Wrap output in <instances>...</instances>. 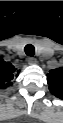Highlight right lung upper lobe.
Masks as SVG:
<instances>
[{
  "label": "right lung upper lobe",
  "mask_w": 63,
  "mask_h": 123,
  "mask_svg": "<svg viewBox=\"0 0 63 123\" xmlns=\"http://www.w3.org/2000/svg\"><path fill=\"white\" fill-rule=\"evenodd\" d=\"M20 70H16L14 66L9 63L1 60L0 62V87L6 88L12 85V80L14 77L18 76Z\"/></svg>",
  "instance_id": "1"
}]
</instances>
